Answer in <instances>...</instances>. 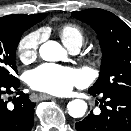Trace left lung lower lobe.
<instances>
[{
    "label": "left lung lower lobe",
    "instance_id": "0a47b994",
    "mask_svg": "<svg viewBox=\"0 0 131 131\" xmlns=\"http://www.w3.org/2000/svg\"><path fill=\"white\" fill-rule=\"evenodd\" d=\"M100 99L101 112L95 115L93 111L82 121L75 124L77 131H131V95L104 92L95 93Z\"/></svg>",
    "mask_w": 131,
    "mask_h": 131
}]
</instances>
